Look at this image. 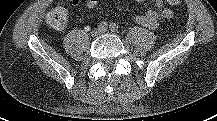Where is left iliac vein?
Returning <instances> with one entry per match:
<instances>
[{
    "label": "left iliac vein",
    "instance_id": "left-iliac-vein-1",
    "mask_svg": "<svg viewBox=\"0 0 217 121\" xmlns=\"http://www.w3.org/2000/svg\"><path fill=\"white\" fill-rule=\"evenodd\" d=\"M101 33H102V34H106V33H107V30H103Z\"/></svg>",
    "mask_w": 217,
    "mask_h": 121
}]
</instances>
